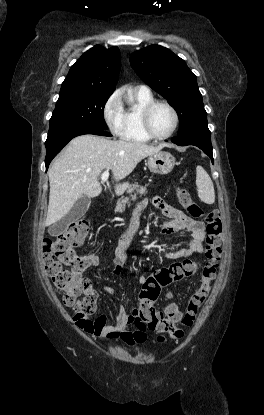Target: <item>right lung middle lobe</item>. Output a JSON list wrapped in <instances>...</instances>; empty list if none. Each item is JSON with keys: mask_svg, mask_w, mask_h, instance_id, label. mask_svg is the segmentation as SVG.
<instances>
[{"mask_svg": "<svg viewBox=\"0 0 264 415\" xmlns=\"http://www.w3.org/2000/svg\"><path fill=\"white\" fill-rule=\"evenodd\" d=\"M111 94L60 95L50 119L45 145L72 132L87 129H107L104 106Z\"/></svg>", "mask_w": 264, "mask_h": 415, "instance_id": "1", "label": "right lung middle lobe"}]
</instances>
